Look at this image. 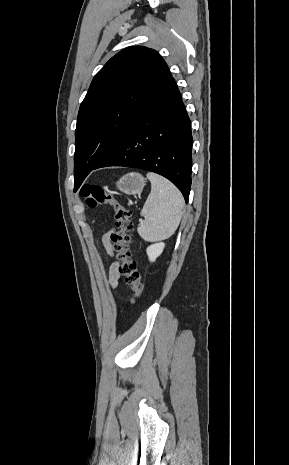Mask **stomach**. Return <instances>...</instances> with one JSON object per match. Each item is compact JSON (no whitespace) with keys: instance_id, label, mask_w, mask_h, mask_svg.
<instances>
[{"instance_id":"obj_1","label":"stomach","mask_w":289,"mask_h":465,"mask_svg":"<svg viewBox=\"0 0 289 465\" xmlns=\"http://www.w3.org/2000/svg\"><path fill=\"white\" fill-rule=\"evenodd\" d=\"M116 186L125 194L136 195L142 192L145 186V179L141 174L132 172L121 177Z\"/></svg>"}]
</instances>
